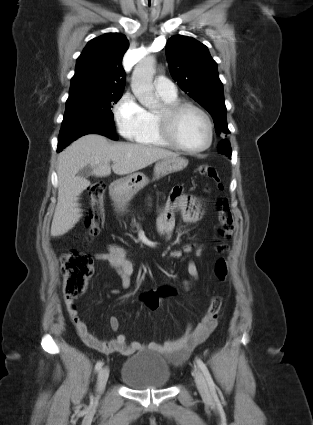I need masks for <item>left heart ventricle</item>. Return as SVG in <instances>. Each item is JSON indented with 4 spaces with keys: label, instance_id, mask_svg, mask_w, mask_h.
Listing matches in <instances>:
<instances>
[{
    "label": "left heart ventricle",
    "instance_id": "left-heart-ventricle-1",
    "mask_svg": "<svg viewBox=\"0 0 313 425\" xmlns=\"http://www.w3.org/2000/svg\"><path fill=\"white\" fill-rule=\"evenodd\" d=\"M179 141L188 148L202 147L208 139V128L204 118L195 111L185 112L176 126Z\"/></svg>",
    "mask_w": 313,
    "mask_h": 425
}]
</instances>
